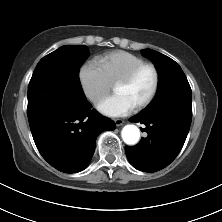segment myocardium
<instances>
[{
    "label": "myocardium",
    "instance_id": "myocardium-1",
    "mask_svg": "<svg viewBox=\"0 0 222 222\" xmlns=\"http://www.w3.org/2000/svg\"><path fill=\"white\" fill-rule=\"evenodd\" d=\"M147 68L151 69L154 74V84H153V88H152L150 94L148 95V97L135 107L136 110H138V111L143 110L146 107H148L153 102V100L155 99V97L158 93L159 86H160V73H159V70L157 69V67L152 63L145 62V63L140 64L137 67H135L126 76H124L123 78H121L119 81H117L115 83V87L118 85H129L137 78V76L144 69H147Z\"/></svg>",
    "mask_w": 222,
    "mask_h": 222
}]
</instances>
